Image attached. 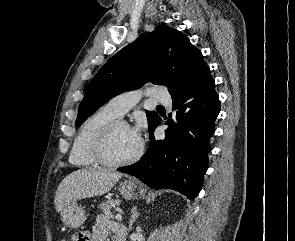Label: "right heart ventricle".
I'll return each mask as SVG.
<instances>
[{
  "label": "right heart ventricle",
  "mask_w": 295,
  "mask_h": 241,
  "mask_svg": "<svg viewBox=\"0 0 295 241\" xmlns=\"http://www.w3.org/2000/svg\"><path fill=\"white\" fill-rule=\"evenodd\" d=\"M106 106L89 116L80 127L73 142L69 161L76 167H93L98 161L93 154L94 143L103 129L113 120L118 119Z\"/></svg>",
  "instance_id": "obj_1"
}]
</instances>
